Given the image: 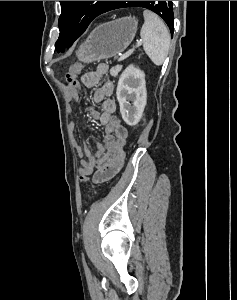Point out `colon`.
Returning a JSON list of instances; mask_svg holds the SVG:
<instances>
[{
  "label": "colon",
  "mask_w": 237,
  "mask_h": 300,
  "mask_svg": "<svg viewBox=\"0 0 237 300\" xmlns=\"http://www.w3.org/2000/svg\"><path fill=\"white\" fill-rule=\"evenodd\" d=\"M83 69L82 63H75L70 66L68 73L66 75V80L69 86L77 87L79 85L77 76ZM90 177L88 174H81L80 173V180L81 182L89 181Z\"/></svg>",
  "instance_id": "1"
}]
</instances>
